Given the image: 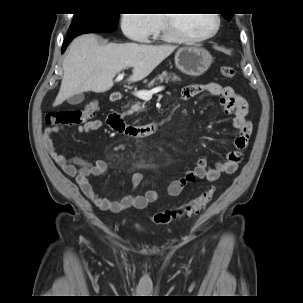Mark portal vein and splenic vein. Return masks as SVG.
I'll use <instances>...</instances> for the list:
<instances>
[{"instance_id": "portal-vein-and-splenic-vein-1", "label": "portal vein and splenic vein", "mask_w": 303, "mask_h": 303, "mask_svg": "<svg viewBox=\"0 0 303 303\" xmlns=\"http://www.w3.org/2000/svg\"><path fill=\"white\" fill-rule=\"evenodd\" d=\"M123 76H124V74H119L118 77L116 78V81L121 80L123 78ZM162 90H164V87L163 86H158V87H155L151 90L136 91V92H134V95L137 96L138 98L142 99V100H150L154 93H158Z\"/></svg>"}]
</instances>
